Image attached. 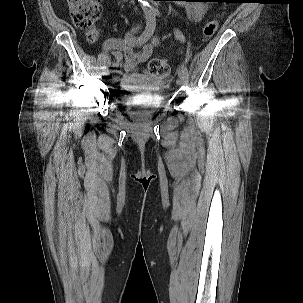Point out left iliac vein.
<instances>
[{
  "instance_id": "4c4485c4",
  "label": "left iliac vein",
  "mask_w": 303,
  "mask_h": 303,
  "mask_svg": "<svg viewBox=\"0 0 303 303\" xmlns=\"http://www.w3.org/2000/svg\"><path fill=\"white\" fill-rule=\"evenodd\" d=\"M187 82H188V77L185 74V72L181 69L179 71V77L177 79V84L181 86V85L187 84Z\"/></svg>"
}]
</instances>
